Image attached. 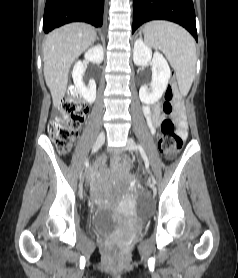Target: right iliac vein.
Returning <instances> with one entry per match:
<instances>
[{
	"instance_id": "1",
	"label": "right iliac vein",
	"mask_w": 238,
	"mask_h": 278,
	"mask_svg": "<svg viewBox=\"0 0 238 278\" xmlns=\"http://www.w3.org/2000/svg\"><path fill=\"white\" fill-rule=\"evenodd\" d=\"M104 142H105V133H104V131H101L92 147V153H95L96 151H98ZM80 174H83V168H80ZM82 178H83V175H79L78 180H82Z\"/></svg>"
}]
</instances>
